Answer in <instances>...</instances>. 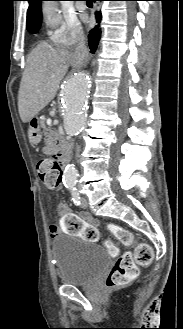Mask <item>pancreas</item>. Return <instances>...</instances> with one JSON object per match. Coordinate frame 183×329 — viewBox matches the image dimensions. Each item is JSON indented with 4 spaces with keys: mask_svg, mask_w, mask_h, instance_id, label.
<instances>
[{
    "mask_svg": "<svg viewBox=\"0 0 183 329\" xmlns=\"http://www.w3.org/2000/svg\"><path fill=\"white\" fill-rule=\"evenodd\" d=\"M40 126L43 128L45 132L50 130V128L46 126V118L40 119Z\"/></svg>",
    "mask_w": 183,
    "mask_h": 329,
    "instance_id": "obj_1",
    "label": "pancreas"
}]
</instances>
